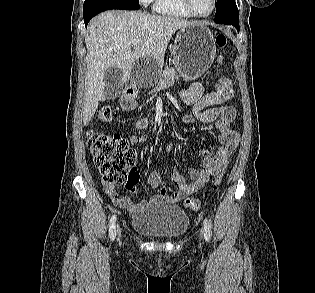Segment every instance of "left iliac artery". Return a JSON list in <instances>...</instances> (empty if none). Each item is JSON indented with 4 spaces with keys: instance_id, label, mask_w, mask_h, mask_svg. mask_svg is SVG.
<instances>
[{
    "instance_id": "left-iliac-artery-1",
    "label": "left iliac artery",
    "mask_w": 315,
    "mask_h": 293,
    "mask_svg": "<svg viewBox=\"0 0 315 293\" xmlns=\"http://www.w3.org/2000/svg\"><path fill=\"white\" fill-rule=\"evenodd\" d=\"M204 238L208 242L210 240L211 222L207 218L204 219Z\"/></svg>"
}]
</instances>
